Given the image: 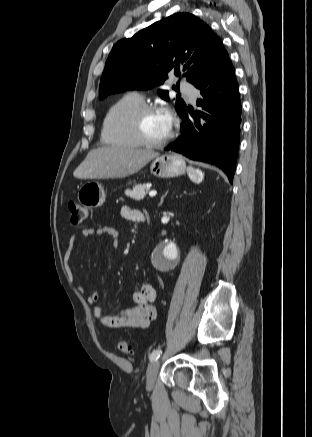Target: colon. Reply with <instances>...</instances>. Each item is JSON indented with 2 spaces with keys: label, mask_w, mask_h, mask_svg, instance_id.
<instances>
[{
  "label": "colon",
  "mask_w": 312,
  "mask_h": 437,
  "mask_svg": "<svg viewBox=\"0 0 312 437\" xmlns=\"http://www.w3.org/2000/svg\"><path fill=\"white\" fill-rule=\"evenodd\" d=\"M68 211L73 225H80L87 216V209L73 200L68 202ZM118 348L124 354L132 352V346L127 341H120Z\"/></svg>",
  "instance_id": "5ec220e1"
}]
</instances>
